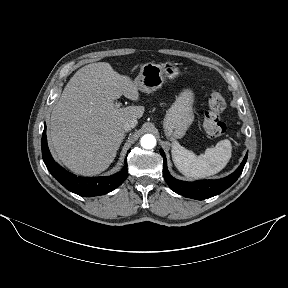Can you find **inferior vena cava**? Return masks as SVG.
Instances as JSON below:
<instances>
[{"label": "inferior vena cava", "mask_w": 288, "mask_h": 288, "mask_svg": "<svg viewBox=\"0 0 288 288\" xmlns=\"http://www.w3.org/2000/svg\"><path fill=\"white\" fill-rule=\"evenodd\" d=\"M137 123H138L137 119H135V118L129 119L124 123L123 129L125 131H129V130L133 129L137 125Z\"/></svg>", "instance_id": "1"}]
</instances>
